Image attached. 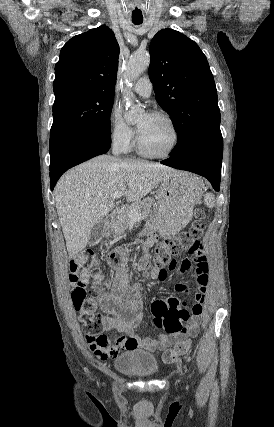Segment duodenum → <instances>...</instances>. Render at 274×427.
I'll use <instances>...</instances> for the list:
<instances>
[{
  "label": "duodenum",
  "mask_w": 274,
  "mask_h": 427,
  "mask_svg": "<svg viewBox=\"0 0 274 427\" xmlns=\"http://www.w3.org/2000/svg\"><path fill=\"white\" fill-rule=\"evenodd\" d=\"M110 225H111V221H110V220H107V221L105 222V229H108V228L110 227Z\"/></svg>",
  "instance_id": "obj_1"
}]
</instances>
